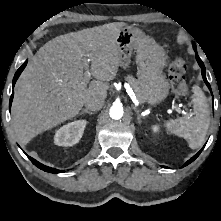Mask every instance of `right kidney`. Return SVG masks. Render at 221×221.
Returning a JSON list of instances; mask_svg holds the SVG:
<instances>
[{
    "mask_svg": "<svg viewBox=\"0 0 221 221\" xmlns=\"http://www.w3.org/2000/svg\"><path fill=\"white\" fill-rule=\"evenodd\" d=\"M86 124V120H78L62 126L54 135V143L58 146L75 145L81 139Z\"/></svg>",
    "mask_w": 221,
    "mask_h": 221,
    "instance_id": "ca27d5eb",
    "label": "right kidney"
}]
</instances>
